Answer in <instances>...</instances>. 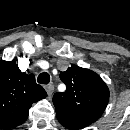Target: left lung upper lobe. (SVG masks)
<instances>
[{"instance_id": "1", "label": "left lung upper lobe", "mask_w": 130, "mask_h": 130, "mask_svg": "<svg viewBox=\"0 0 130 130\" xmlns=\"http://www.w3.org/2000/svg\"><path fill=\"white\" fill-rule=\"evenodd\" d=\"M60 79L67 88L65 92L54 94L56 110L92 123L98 120L109 101V89L101 77L89 69L72 65L60 73Z\"/></svg>"}]
</instances>
